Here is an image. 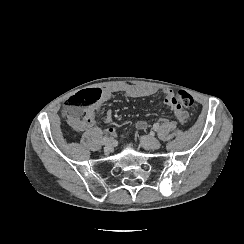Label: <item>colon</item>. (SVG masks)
<instances>
[{
	"mask_svg": "<svg viewBox=\"0 0 244 244\" xmlns=\"http://www.w3.org/2000/svg\"><path fill=\"white\" fill-rule=\"evenodd\" d=\"M171 103L175 106L188 108L193 106L194 99L187 91L179 90L172 97ZM66 112L71 125L76 129L85 127L91 121L90 117L85 112V108L80 105L72 104L71 101H68L66 105ZM125 134L128 136L130 133L127 131Z\"/></svg>",
	"mask_w": 244,
	"mask_h": 244,
	"instance_id": "5ec220e1",
	"label": "colon"
}]
</instances>
